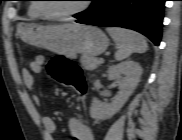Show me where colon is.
I'll return each mask as SVG.
<instances>
[{"mask_svg":"<svg viewBox=\"0 0 182 140\" xmlns=\"http://www.w3.org/2000/svg\"><path fill=\"white\" fill-rule=\"evenodd\" d=\"M50 74L74 90L83 100L86 94V83L80 67L71 60L57 58L48 67Z\"/></svg>","mask_w":182,"mask_h":140,"instance_id":"obj_1","label":"colon"}]
</instances>
